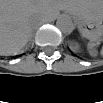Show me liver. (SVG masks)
Instances as JSON below:
<instances>
[{
	"label": "liver",
	"mask_w": 103,
	"mask_h": 103,
	"mask_svg": "<svg viewBox=\"0 0 103 103\" xmlns=\"http://www.w3.org/2000/svg\"><path fill=\"white\" fill-rule=\"evenodd\" d=\"M78 0H2L0 2L1 51L19 52L30 40L39 21H52L59 11L70 13Z\"/></svg>",
	"instance_id": "6515ba94"
}]
</instances>
